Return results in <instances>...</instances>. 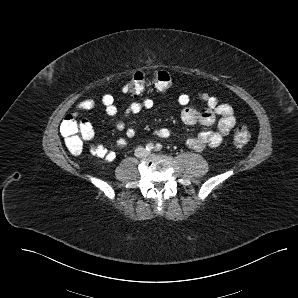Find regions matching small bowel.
Instances as JSON below:
<instances>
[{"mask_svg":"<svg viewBox=\"0 0 298 298\" xmlns=\"http://www.w3.org/2000/svg\"><path fill=\"white\" fill-rule=\"evenodd\" d=\"M198 98L206 104L203 109H196L189 106L190 96L182 93L178 97V102L184 106L181 111V119L187 125H194L197 123L210 126L217 123L216 130H203L196 135L188 138L186 144L189 148L196 151H203L206 148L218 147L225 136H227L231 129L236 124L233 108L226 103H220L218 99L208 93L201 92ZM102 105L105 111L110 116H115L118 113V108L115 105L114 97L110 94L104 95L100 101L94 99H84L76 104L77 111H87L95 108L97 105ZM154 101L151 98H145L141 101H134L124 110L123 117L138 114L143 110L153 108ZM117 130L124 131V136L117 141L119 147H125L128 141L133 138L136 131L132 127H126L123 120H118L115 124ZM155 135L159 138L166 139L170 136V131L167 128H158L155 130ZM89 152L107 162H113L116 159V153L95 142L88 144Z\"/></svg>","mask_w":298,"mask_h":298,"instance_id":"c3829d8e","label":"small bowel"}]
</instances>
